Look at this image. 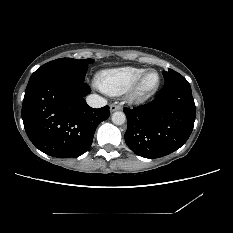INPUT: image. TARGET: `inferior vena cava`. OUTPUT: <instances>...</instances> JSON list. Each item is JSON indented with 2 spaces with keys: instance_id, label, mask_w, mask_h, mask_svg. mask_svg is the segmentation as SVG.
Instances as JSON below:
<instances>
[{
  "instance_id": "602c4592",
  "label": "inferior vena cava",
  "mask_w": 233,
  "mask_h": 233,
  "mask_svg": "<svg viewBox=\"0 0 233 233\" xmlns=\"http://www.w3.org/2000/svg\"><path fill=\"white\" fill-rule=\"evenodd\" d=\"M87 103L93 108H101L107 104V100L97 94H91L87 97Z\"/></svg>"
}]
</instances>
